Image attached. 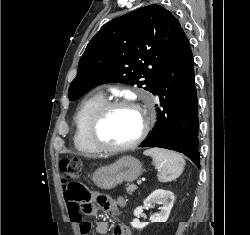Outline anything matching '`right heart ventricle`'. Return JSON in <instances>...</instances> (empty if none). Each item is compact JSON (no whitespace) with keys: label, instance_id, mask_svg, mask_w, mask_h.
I'll return each instance as SVG.
<instances>
[{"label":"right heart ventricle","instance_id":"right-heart-ventricle-1","mask_svg":"<svg viewBox=\"0 0 250 235\" xmlns=\"http://www.w3.org/2000/svg\"><path fill=\"white\" fill-rule=\"evenodd\" d=\"M102 93L90 95L82 101L74 117V146L83 155L93 156L101 153L88 138V126L93 114L105 102Z\"/></svg>","mask_w":250,"mask_h":235}]
</instances>
